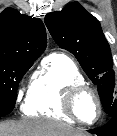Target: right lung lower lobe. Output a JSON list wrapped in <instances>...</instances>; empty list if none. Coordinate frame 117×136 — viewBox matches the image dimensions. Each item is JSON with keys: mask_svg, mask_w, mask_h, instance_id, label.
Returning a JSON list of instances; mask_svg holds the SVG:
<instances>
[{"mask_svg": "<svg viewBox=\"0 0 117 136\" xmlns=\"http://www.w3.org/2000/svg\"><path fill=\"white\" fill-rule=\"evenodd\" d=\"M14 109V106L7 104H0V117L9 114Z\"/></svg>", "mask_w": 117, "mask_h": 136, "instance_id": "1", "label": "right lung lower lobe"}]
</instances>
